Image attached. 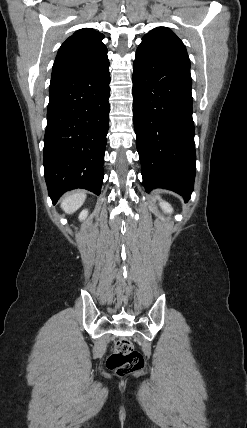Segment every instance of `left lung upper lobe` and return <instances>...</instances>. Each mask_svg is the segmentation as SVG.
Returning a JSON list of instances; mask_svg holds the SVG:
<instances>
[{
	"instance_id": "left-lung-upper-lobe-1",
	"label": "left lung upper lobe",
	"mask_w": 247,
	"mask_h": 428,
	"mask_svg": "<svg viewBox=\"0 0 247 428\" xmlns=\"http://www.w3.org/2000/svg\"><path fill=\"white\" fill-rule=\"evenodd\" d=\"M138 50L156 54L169 62L190 69L186 47L167 27L154 28L144 35Z\"/></svg>"
}]
</instances>
